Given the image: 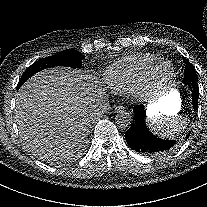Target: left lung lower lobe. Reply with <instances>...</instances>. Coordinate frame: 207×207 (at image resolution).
<instances>
[{
  "label": "left lung lower lobe",
  "mask_w": 207,
  "mask_h": 207,
  "mask_svg": "<svg viewBox=\"0 0 207 207\" xmlns=\"http://www.w3.org/2000/svg\"><path fill=\"white\" fill-rule=\"evenodd\" d=\"M192 88V105L194 111L198 109L199 87L198 81L188 84ZM134 121L125 134L128 145L140 153L162 154L174 147L176 141L164 140L153 135L145 123L146 112L143 105H138L133 109ZM189 137L187 135L186 139Z\"/></svg>",
  "instance_id": "1"
}]
</instances>
